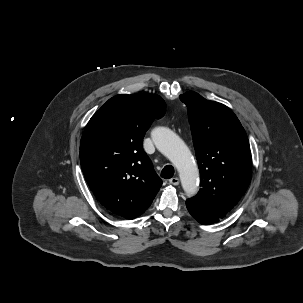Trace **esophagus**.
<instances>
[{
  "label": "esophagus",
  "instance_id": "esophagus-1",
  "mask_svg": "<svg viewBox=\"0 0 303 303\" xmlns=\"http://www.w3.org/2000/svg\"><path fill=\"white\" fill-rule=\"evenodd\" d=\"M169 183L171 185L177 186V185H179V179L177 177H173L169 180Z\"/></svg>",
  "mask_w": 303,
  "mask_h": 303
}]
</instances>
